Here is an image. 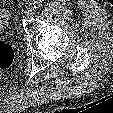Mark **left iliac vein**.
<instances>
[{
	"mask_svg": "<svg viewBox=\"0 0 113 113\" xmlns=\"http://www.w3.org/2000/svg\"><path fill=\"white\" fill-rule=\"evenodd\" d=\"M34 14V8L33 7H28L27 9H26V11H25V15L27 16V17H30V16H32Z\"/></svg>",
	"mask_w": 113,
	"mask_h": 113,
	"instance_id": "obj_1",
	"label": "left iliac vein"
}]
</instances>
